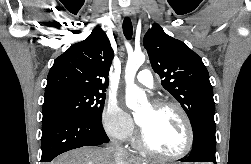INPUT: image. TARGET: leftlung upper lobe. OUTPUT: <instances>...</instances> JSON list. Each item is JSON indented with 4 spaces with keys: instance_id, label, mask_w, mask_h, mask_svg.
Here are the masks:
<instances>
[{
    "instance_id": "1",
    "label": "left lung upper lobe",
    "mask_w": 251,
    "mask_h": 164,
    "mask_svg": "<svg viewBox=\"0 0 251 164\" xmlns=\"http://www.w3.org/2000/svg\"><path fill=\"white\" fill-rule=\"evenodd\" d=\"M143 44L153 70L162 79V86L188 115L193 133L203 125L215 128L213 90L202 59L157 24L146 33Z\"/></svg>"
}]
</instances>
